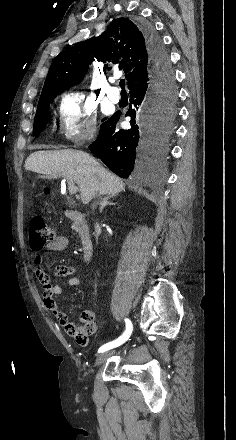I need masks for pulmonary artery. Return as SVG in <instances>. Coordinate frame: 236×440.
I'll return each mask as SVG.
<instances>
[{
	"label": "pulmonary artery",
	"mask_w": 236,
	"mask_h": 440,
	"mask_svg": "<svg viewBox=\"0 0 236 440\" xmlns=\"http://www.w3.org/2000/svg\"><path fill=\"white\" fill-rule=\"evenodd\" d=\"M107 96L113 103H118L120 101V94L116 88L109 89Z\"/></svg>",
	"instance_id": "1"
}]
</instances>
